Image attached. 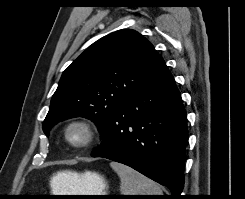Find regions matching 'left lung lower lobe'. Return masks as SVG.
Here are the masks:
<instances>
[{
    "instance_id": "0a47b994",
    "label": "left lung lower lobe",
    "mask_w": 245,
    "mask_h": 199,
    "mask_svg": "<svg viewBox=\"0 0 245 199\" xmlns=\"http://www.w3.org/2000/svg\"><path fill=\"white\" fill-rule=\"evenodd\" d=\"M187 116L164 61L152 77L110 115L93 157L132 167L168 187L178 199L184 186Z\"/></svg>"
}]
</instances>
